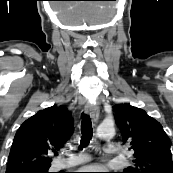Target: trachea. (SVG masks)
<instances>
[{
	"label": "trachea",
	"instance_id": "trachea-1",
	"mask_svg": "<svg viewBox=\"0 0 173 173\" xmlns=\"http://www.w3.org/2000/svg\"><path fill=\"white\" fill-rule=\"evenodd\" d=\"M93 135V128L91 118L87 114L82 115L81 121V140L79 149L82 150L85 146H88Z\"/></svg>",
	"mask_w": 173,
	"mask_h": 173
}]
</instances>
